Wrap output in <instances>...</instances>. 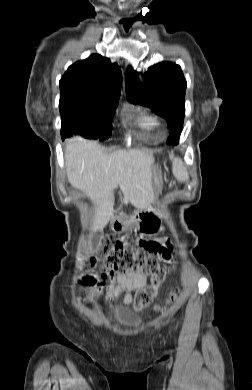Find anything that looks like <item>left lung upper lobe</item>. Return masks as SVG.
Segmentation results:
<instances>
[{
  "label": "left lung upper lobe",
  "instance_id": "obj_1",
  "mask_svg": "<svg viewBox=\"0 0 252 390\" xmlns=\"http://www.w3.org/2000/svg\"><path fill=\"white\" fill-rule=\"evenodd\" d=\"M126 91L131 103L148 106L167 119L173 130L167 143H178L185 114L186 80L180 66L162 62L153 65L144 75V83L138 73L126 71Z\"/></svg>",
  "mask_w": 252,
  "mask_h": 390
}]
</instances>
